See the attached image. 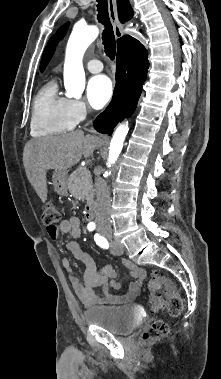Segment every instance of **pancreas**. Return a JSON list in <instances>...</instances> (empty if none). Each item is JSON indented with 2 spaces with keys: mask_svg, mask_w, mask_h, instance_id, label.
<instances>
[{
  "mask_svg": "<svg viewBox=\"0 0 221 379\" xmlns=\"http://www.w3.org/2000/svg\"><path fill=\"white\" fill-rule=\"evenodd\" d=\"M69 191L75 198L90 202L93 199L94 189L90 173L85 168H78L68 178Z\"/></svg>",
  "mask_w": 221,
  "mask_h": 379,
  "instance_id": "pancreas-1",
  "label": "pancreas"
}]
</instances>
